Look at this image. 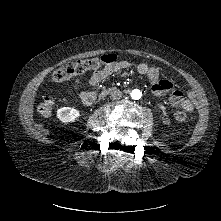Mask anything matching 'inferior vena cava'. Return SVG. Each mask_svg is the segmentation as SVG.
Segmentation results:
<instances>
[{
  "instance_id": "602c4592",
  "label": "inferior vena cava",
  "mask_w": 221,
  "mask_h": 221,
  "mask_svg": "<svg viewBox=\"0 0 221 221\" xmlns=\"http://www.w3.org/2000/svg\"><path fill=\"white\" fill-rule=\"evenodd\" d=\"M121 97H122V93L120 92V91H113L112 93H111V95H110V99L112 100V101H116V100H119V99H121Z\"/></svg>"
}]
</instances>
